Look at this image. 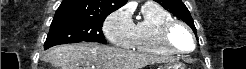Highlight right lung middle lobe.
Wrapping results in <instances>:
<instances>
[{
	"instance_id": "right-lung-middle-lobe-1",
	"label": "right lung middle lobe",
	"mask_w": 246,
	"mask_h": 69,
	"mask_svg": "<svg viewBox=\"0 0 246 69\" xmlns=\"http://www.w3.org/2000/svg\"><path fill=\"white\" fill-rule=\"evenodd\" d=\"M105 18H59L53 19L44 48L81 41L107 44L102 32Z\"/></svg>"
}]
</instances>
